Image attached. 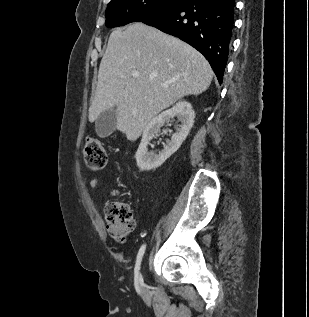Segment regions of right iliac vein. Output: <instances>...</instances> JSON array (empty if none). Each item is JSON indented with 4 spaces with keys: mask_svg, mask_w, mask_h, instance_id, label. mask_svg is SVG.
Returning <instances> with one entry per match:
<instances>
[{
    "mask_svg": "<svg viewBox=\"0 0 309 317\" xmlns=\"http://www.w3.org/2000/svg\"><path fill=\"white\" fill-rule=\"evenodd\" d=\"M142 286H143V289L146 287V285H145L144 283H143V285H142Z\"/></svg>",
    "mask_w": 309,
    "mask_h": 317,
    "instance_id": "obj_1",
    "label": "right iliac vein"
}]
</instances>
